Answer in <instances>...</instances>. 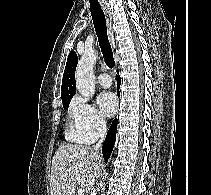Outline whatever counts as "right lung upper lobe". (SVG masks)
<instances>
[{
    "label": "right lung upper lobe",
    "mask_w": 211,
    "mask_h": 195,
    "mask_svg": "<svg viewBox=\"0 0 211 195\" xmlns=\"http://www.w3.org/2000/svg\"><path fill=\"white\" fill-rule=\"evenodd\" d=\"M78 58L74 51L69 53L67 63L65 66V71L62 79V102H70L73 95L76 92L75 85V69L77 66Z\"/></svg>",
    "instance_id": "right-lung-upper-lobe-1"
}]
</instances>
